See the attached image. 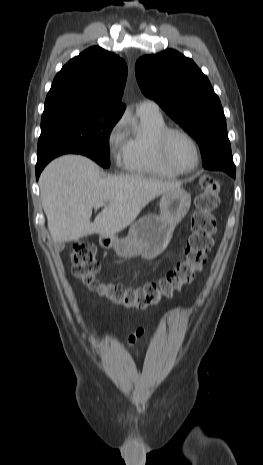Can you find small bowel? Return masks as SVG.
<instances>
[{"label": "small bowel", "instance_id": "obj_1", "mask_svg": "<svg viewBox=\"0 0 263 465\" xmlns=\"http://www.w3.org/2000/svg\"><path fill=\"white\" fill-rule=\"evenodd\" d=\"M145 330L143 328L136 329L129 337H128V346L132 347L135 342L144 334Z\"/></svg>", "mask_w": 263, "mask_h": 465}]
</instances>
